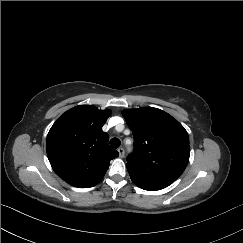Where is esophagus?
Masks as SVG:
<instances>
[{"instance_id": "esophagus-1", "label": "esophagus", "mask_w": 243, "mask_h": 243, "mask_svg": "<svg viewBox=\"0 0 243 243\" xmlns=\"http://www.w3.org/2000/svg\"><path fill=\"white\" fill-rule=\"evenodd\" d=\"M119 157L123 158L125 156V150L123 147L118 148Z\"/></svg>"}]
</instances>
